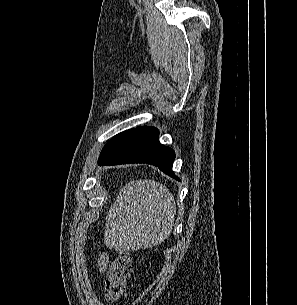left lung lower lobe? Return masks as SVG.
Wrapping results in <instances>:
<instances>
[{
    "mask_svg": "<svg viewBox=\"0 0 297 305\" xmlns=\"http://www.w3.org/2000/svg\"><path fill=\"white\" fill-rule=\"evenodd\" d=\"M158 136V130L148 126L124 131L107 142L98 163L100 165L147 163L180 180L172 171L175 152L162 145Z\"/></svg>",
    "mask_w": 297,
    "mask_h": 305,
    "instance_id": "obj_1",
    "label": "left lung lower lobe"
}]
</instances>
